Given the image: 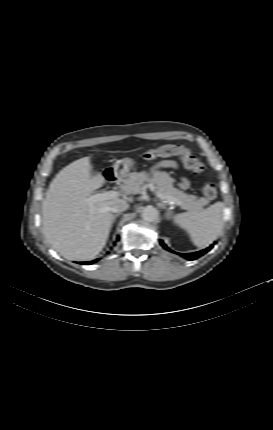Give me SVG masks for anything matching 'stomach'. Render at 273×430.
<instances>
[{
  "label": "stomach",
  "instance_id": "obj_1",
  "mask_svg": "<svg viewBox=\"0 0 273 430\" xmlns=\"http://www.w3.org/2000/svg\"><path fill=\"white\" fill-rule=\"evenodd\" d=\"M132 165H133V161L129 158L124 159L120 162L117 161L113 166L114 172L116 174H119L121 177H125L128 174Z\"/></svg>",
  "mask_w": 273,
  "mask_h": 430
}]
</instances>
